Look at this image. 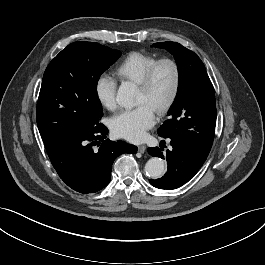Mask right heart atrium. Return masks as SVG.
Segmentation results:
<instances>
[{
	"instance_id": "1",
	"label": "right heart atrium",
	"mask_w": 265,
	"mask_h": 265,
	"mask_svg": "<svg viewBox=\"0 0 265 265\" xmlns=\"http://www.w3.org/2000/svg\"><path fill=\"white\" fill-rule=\"evenodd\" d=\"M94 92L102 107L108 110L116 108L117 82L113 77L107 74L99 75L94 84Z\"/></svg>"
}]
</instances>
